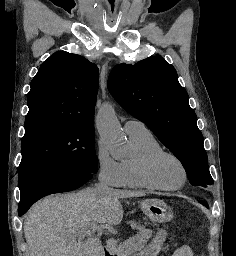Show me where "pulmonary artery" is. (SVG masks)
I'll return each mask as SVG.
<instances>
[{
    "instance_id": "1",
    "label": "pulmonary artery",
    "mask_w": 236,
    "mask_h": 256,
    "mask_svg": "<svg viewBox=\"0 0 236 256\" xmlns=\"http://www.w3.org/2000/svg\"><path fill=\"white\" fill-rule=\"evenodd\" d=\"M124 130L129 136L149 131L144 123L136 119L127 120L124 123Z\"/></svg>"
}]
</instances>
